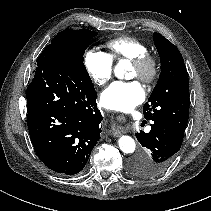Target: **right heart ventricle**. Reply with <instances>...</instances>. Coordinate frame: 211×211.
<instances>
[{
    "instance_id": "e07e8e85",
    "label": "right heart ventricle",
    "mask_w": 211,
    "mask_h": 211,
    "mask_svg": "<svg viewBox=\"0 0 211 211\" xmlns=\"http://www.w3.org/2000/svg\"><path fill=\"white\" fill-rule=\"evenodd\" d=\"M109 57L113 60H132L147 53V47L141 41L129 36L112 39L106 44Z\"/></svg>"
}]
</instances>
